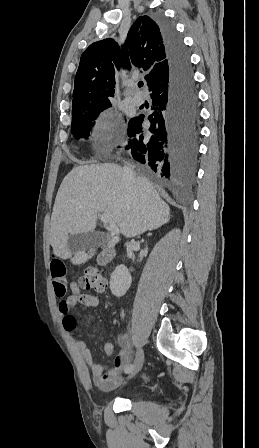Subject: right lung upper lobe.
Segmentation results:
<instances>
[{
  "mask_svg": "<svg viewBox=\"0 0 259 448\" xmlns=\"http://www.w3.org/2000/svg\"><path fill=\"white\" fill-rule=\"evenodd\" d=\"M151 69L145 76L150 94L167 88L170 68L157 22L140 16L130 28L122 49L111 38L92 43L82 54L75 77L72 112L111 104L115 74L130 64Z\"/></svg>",
  "mask_w": 259,
  "mask_h": 448,
  "instance_id": "obj_1",
  "label": "right lung upper lobe"
}]
</instances>
